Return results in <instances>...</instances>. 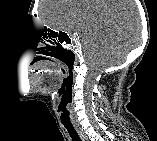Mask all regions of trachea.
Wrapping results in <instances>:
<instances>
[{
	"mask_svg": "<svg viewBox=\"0 0 157 141\" xmlns=\"http://www.w3.org/2000/svg\"><path fill=\"white\" fill-rule=\"evenodd\" d=\"M66 130L68 131L72 141H81L78 133L76 132L75 128L73 126H64Z\"/></svg>",
	"mask_w": 157,
	"mask_h": 141,
	"instance_id": "obj_1",
	"label": "trachea"
}]
</instances>
